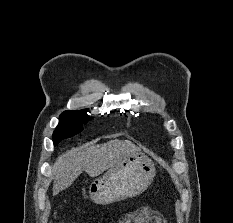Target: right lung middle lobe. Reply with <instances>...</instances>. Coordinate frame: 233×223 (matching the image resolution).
<instances>
[{
    "instance_id": "obj_1",
    "label": "right lung middle lobe",
    "mask_w": 233,
    "mask_h": 223,
    "mask_svg": "<svg viewBox=\"0 0 233 223\" xmlns=\"http://www.w3.org/2000/svg\"><path fill=\"white\" fill-rule=\"evenodd\" d=\"M87 121V110H68L60 115V122L53 133L54 145L83 130L81 124Z\"/></svg>"
}]
</instances>
